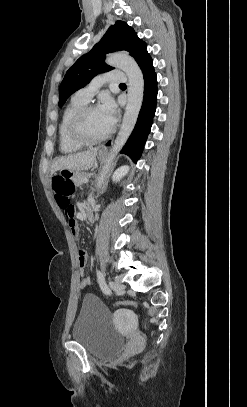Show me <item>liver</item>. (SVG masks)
<instances>
[{
	"instance_id": "obj_1",
	"label": "liver",
	"mask_w": 247,
	"mask_h": 407,
	"mask_svg": "<svg viewBox=\"0 0 247 407\" xmlns=\"http://www.w3.org/2000/svg\"><path fill=\"white\" fill-rule=\"evenodd\" d=\"M99 148H93L84 152L71 154L65 157H60L55 160L52 165L51 173L54 174L58 170L82 171L90 169L95 161Z\"/></svg>"
}]
</instances>
